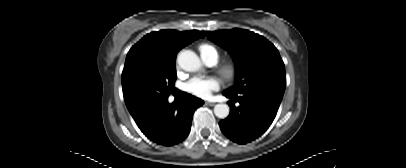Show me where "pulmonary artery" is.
<instances>
[{"label":"pulmonary artery","mask_w":406,"mask_h":168,"mask_svg":"<svg viewBox=\"0 0 406 168\" xmlns=\"http://www.w3.org/2000/svg\"><path fill=\"white\" fill-rule=\"evenodd\" d=\"M216 62L213 59H209L208 61H206V64L209 66L214 65Z\"/></svg>","instance_id":"e3ab8cb5"}]
</instances>
